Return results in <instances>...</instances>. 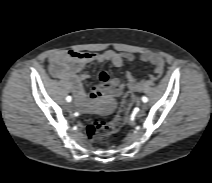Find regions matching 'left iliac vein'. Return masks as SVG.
<instances>
[{
    "instance_id": "left-iliac-vein-1",
    "label": "left iliac vein",
    "mask_w": 212,
    "mask_h": 183,
    "mask_svg": "<svg viewBox=\"0 0 212 183\" xmlns=\"http://www.w3.org/2000/svg\"><path fill=\"white\" fill-rule=\"evenodd\" d=\"M146 109H147V104L143 103V104L141 105V110H142V111H145Z\"/></svg>"
}]
</instances>
